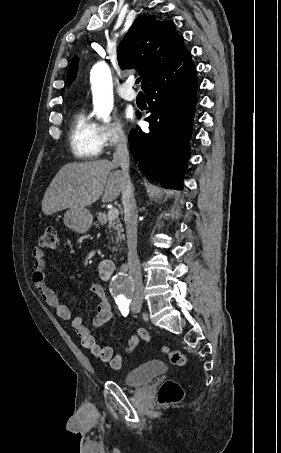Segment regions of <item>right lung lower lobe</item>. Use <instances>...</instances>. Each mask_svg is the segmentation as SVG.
Here are the masks:
<instances>
[{"mask_svg":"<svg viewBox=\"0 0 281 453\" xmlns=\"http://www.w3.org/2000/svg\"><path fill=\"white\" fill-rule=\"evenodd\" d=\"M197 87L188 51L143 86L151 112L145 119L150 123L149 132L140 127L131 130L129 146L140 170L148 178L160 180L163 187L182 189Z\"/></svg>","mask_w":281,"mask_h":453,"instance_id":"obj_1","label":"right lung lower lobe"}]
</instances>
